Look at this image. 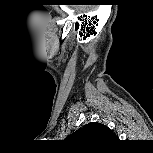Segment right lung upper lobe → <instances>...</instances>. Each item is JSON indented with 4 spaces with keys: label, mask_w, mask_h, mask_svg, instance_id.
Instances as JSON below:
<instances>
[{
    "label": "right lung upper lobe",
    "mask_w": 153,
    "mask_h": 153,
    "mask_svg": "<svg viewBox=\"0 0 153 153\" xmlns=\"http://www.w3.org/2000/svg\"><path fill=\"white\" fill-rule=\"evenodd\" d=\"M66 139L77 145L94 147L117 140V137L109 127L91 122L76 130Z\"/></svg>",
    "instance_id": "right-lung-upper-lobe-1"
}]
</instances>
